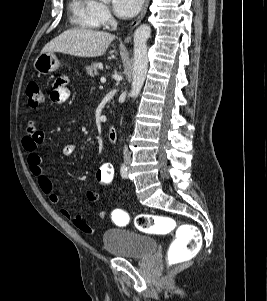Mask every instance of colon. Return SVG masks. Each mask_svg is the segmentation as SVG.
I'll use <instances>...</instances> for the list:
<instances>
[{
    "label": "colon",
    "mask_w": 267,
    "mask_h": 301,
    "mask_svg": "<svg viewBox=\"0 0 267 301\" xmlns=\"http://www.w3.org/2000/svg\"><path fill=\"white\" fill-rule=\"evenodd\" d=\"M26 93L32 106H38L42 103L44 96L37 83L30 82L27 85ZM113 180L114 169L112 164L102 163L95 173L96 185L100 190H108ZM111 217L115 223L120 225L129 221V214L123 209L114 210ZM134 222L136 228L144 233L164 235L173 232L175 234L167 253V260L170 265L188 261L200 250L201 236L198 229L193 225H178L170 217L148 213L138 214Z\"/></svg>",
    "instance_id": "colon-1"
}]
</instances>
